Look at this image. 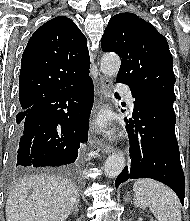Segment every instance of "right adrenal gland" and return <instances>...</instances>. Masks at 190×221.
<instances>
[{
    "label": "right adrenal gland",
    "instance_id": "2a0ac1e0",
    "mask_svg": "<svg viewBox=\"0 0 190 221\" xmlns=\"http://www.w3.org/2000/svg\"><path fill=\"white\" fill-rule=\"evenodd\" d=\"M79 206H80V198H79V196H78V197H77V200H76V202H75V205H74V207L72 208L71 212H74V214L76 215L77 212H78Z\"/></svg>",
    "mask_w": 190,
    "mask_h": 221
}]
</instances>
